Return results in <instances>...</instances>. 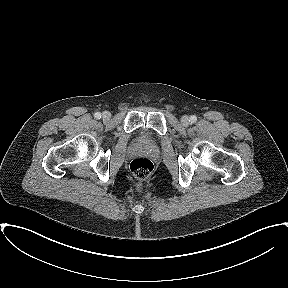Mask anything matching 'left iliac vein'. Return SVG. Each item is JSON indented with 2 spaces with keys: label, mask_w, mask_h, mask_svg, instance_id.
I'll use <instances>...</instances> for the list:
<instances>
[{
  "label": "left iliac vein",
  "mask_w": 288,
  "mask_h": 288,
  "mask_svg": "<svg viewBox=\"0 0 288 288\" xmlns=\"http://www.w3.org/2000/svg\"><path fill=\"white\" fill-rule=\"evenodd\" d=\"M189 122H190V120H189V117L188 116H183L182 118H181V123L184 125V126H188L189 125Z\"/></svg>",
  "instance_id": "4c4485c4"
}]
</instances>
